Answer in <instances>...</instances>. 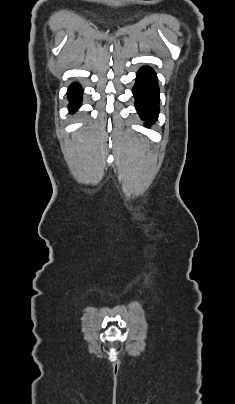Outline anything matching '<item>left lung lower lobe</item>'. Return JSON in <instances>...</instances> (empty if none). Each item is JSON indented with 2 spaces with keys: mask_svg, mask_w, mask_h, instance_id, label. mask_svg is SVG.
<instances>
[{
  "mask_svg": "<svg viewBox=\"0 0 235 404\" xmlns=\"http://www.w3.org/2000/svg\"><path fill=\"white\" fill-rule=\"evenodd\" d=\"M133 94L140 117L147 124L153 123L159 114V87L153 69L143 67L139 70Z\"/></svg>",
  "mask_w": 235,
  "mask_h": 404,
  "instance_id": "1",
  "label": "left lung lower lobe"
}]
</instances>
